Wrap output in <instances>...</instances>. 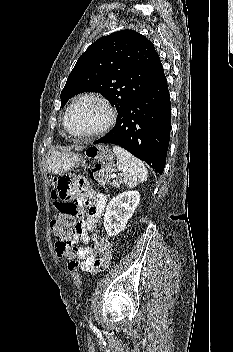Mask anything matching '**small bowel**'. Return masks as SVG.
Masks as SVG:
<instances>
[{
	"label": "small bowel",
	"instance_id": "obj_1",
	"mask_svg": "<svg viewBox=\"0 0 233 352\" xmlns=\"http://www.w3.org/2000/svg\"><path fill=\"white\" fill-rule=\"evenodd\" d=\"M72 199L79 206L77 221L69 235L66 245L57 241L56 253L59 257H65L69 263L68 268L73 270L77 267L88 269L94 260L91 247H74L78 241L89 243L88 232H93L100 220L105 208L106 197L95 191L90 184L81 177L63 175L55 179V187L52 192L53 206L60 211L64 204ZM77 212V210H76Z\"/></svg>",
	"mask_w": 233,
	"mask_h": 352
}]
</instances>
